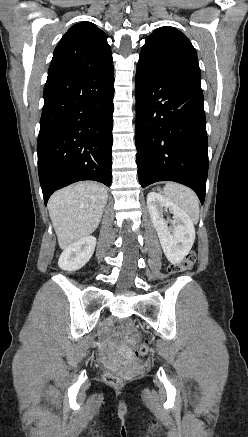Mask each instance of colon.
Wrapping results in <instances>:
<instances>
[{"label": "colon", "mask_w": 248, "mask_h": 437, "mask_svg": "<svg viewBox=\"0 0 248 437\" xmlns=\"http://www.w3.org/2000/svg\"><path fill=\"white\" fill-rule=\"evenodd\" d=\"M196 261V255L194 252H189L179 263L173 264L169 267L168 272L170 274L179 273L182 271L190 270ZM149 351V341L146 340L145 342L138 345L136 348V355L137 356H145ZM104 380L107 384H109L112 387H120L123 384V379L118 374L107 371L104 374Z\"/></svg>", "instance_id": "1"}]
</instances>
